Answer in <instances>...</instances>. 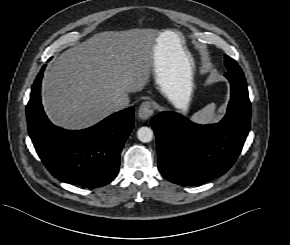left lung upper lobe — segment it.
<instances>
[{
  "instance_id": "obj_1",
  "label": "left lung upper lobe",
  "mask_w": 290,
  "mask_h": 245,
  "mask_svg": "<svg viewBox=\"0 0 290 245\" xmlns=\"http://www.w3.org/2000/svg\"><path fill=\"white\" fill-rule=\"evenodd\" d=\"M225 65H226L228 71L242 72L238 63L234 59H232L231 57H229L227 55H225Z\"/></svg>"
}]
</instances>
